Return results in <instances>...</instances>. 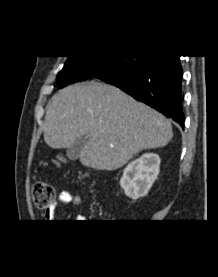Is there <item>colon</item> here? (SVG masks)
Masks as SVG:
<instances>
[{
	"instance_id": "5ec220e1",
	"label": "colon",
	"mask_w": 218,
	"mask_h": 277,
	"mask_svg": "<svg viewBox=\"0 0 218 277\" xmlns=\"http://www.w3.org/2000/svg\"><path fill=\"white\" fill-rule=\"evenodd\" d=\"M33 202L39 209H46L56 200L54 187L47 182H35L31 190Z\"/></svg>"
}]
</instances>
